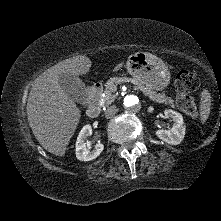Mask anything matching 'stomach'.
I'll return each instance as SVG.
<instances>
[{"label": "stomach", "instance_id": "obj_1", "mask_svg": "<svg viewBox=\"0 0 221 221\" xmlns=\"http://www.w3.org/2000/svg\"><path fill=\"white\" fill-rule=\"evenodd\" d=\"M126 69L137 82L161 91L170 82L168 66L157 56L148 52H136L129 56Z\"/></svg>", "mask_w": 221, "mask_h": 221}]
</instances>
